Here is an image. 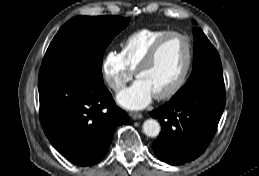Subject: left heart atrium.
<instances>
[{"label": "left heart atrium", "mask_w": 259, "mask_h": 176, "mask_svg": "<svg viewBox=\"0 0 259 176\" xmlns=\"http://www.w3.org/2000/svg\"><path fill=\"white\" fill-rule=\"evenodd\" d=\"M154 97L152 90L142 81H135L117 96V102L124 108L140 110L145 108Z\"/></svg>", "instance_id": "39dd6f15"}]
</instances>
